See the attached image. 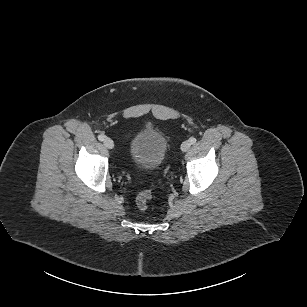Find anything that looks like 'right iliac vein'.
I'll use <instances>...</instances> for the list:
<instances>
[{
    "mask_svg": "<svg viewBox=\"0 0 307 307\" xmlns=\"http://www.w3.org/2000/svg\"><path fill=\"white\" fill-rule=\"evenodd\" d=\"M103 144L106 148L108 149H112L114 147V143L112 141V139L106 137L104 140H103Z\"/></svg>",
    "mask_w": 307,
    "mask_h": 307,
    "instance_id": "right-iliac-vein-1",
    "label": "right iliac vein"
}]
</instances>
